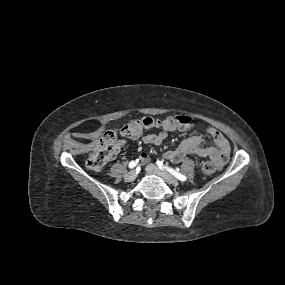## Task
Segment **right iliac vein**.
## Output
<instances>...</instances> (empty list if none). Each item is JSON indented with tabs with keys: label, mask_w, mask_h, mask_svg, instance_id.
<instances>
[{
	"label": "right iliac vein",
	"mask_w": 285,
	"mask_h": 285,
	"mask_svg": "<svg viewBox=\"0 0 285 285\" xmlns=\"http://www.w3.org/2000/svg\"><path fill=\"white\" fill-rule=\"evenodd\" d=\"M137 175H136V171L135 170H132L130 172H128L125 176H124V179L127 181V182H132L136 179Z\"/></svg>",
	"instance_id": "right-iliac-vein-1"
}]
</instances>
